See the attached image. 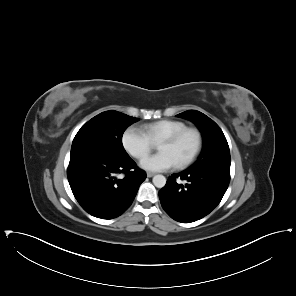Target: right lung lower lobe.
Segmentation results:
<instances>
[{"label": "right lung lower lobe", "mask_w": 296, "mask_h": 296, "mask_svg": "<svg viewBox=\"0 0 296 296\" xmlns=\"http://www.w3.org/2000/svg\"><path fill=\"white\" fill-rule=\"evenodd\" d=\"M67 175L82 208L104 219L123 214L146 179V173L138 170L130 157L117 160L96 153L71 155Z\"/></svg>", "instance_id": "obj_1"}]
</instances>
